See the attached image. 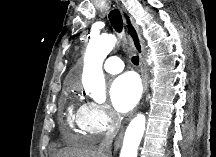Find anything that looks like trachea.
<instances>
[{"instance_id": "3493384b", "label": "trachea", "mask_w": 216, "mask_h": 157, "mask_svg": "<svg viewBox=\"0 0 216 157\" xmlns=\"http://www.w3.org/2000/svg\"><path fill=\"white\" fill-rule=\"evenodd\" d=\"M109 21L113 28L118 32L121 33L123 30V19L121 16V13L118 9H114L109 13ZM133 32V38L136 41V43L139 45L138 36L135 30H132ZM132 63L135 65L139 64V56H133L132 57Z\"/></svg>"}]
</instances>
